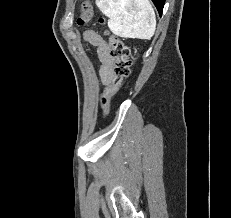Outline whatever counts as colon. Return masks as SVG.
Segmentation results:
<instances>
[{
	"mask_svg": "<svg viewBox=\"0 0 231 218\" xmlns=\"http://www.w3.org/2000/svg\"><path fill=\"white\" fill-rule=\"evenodd\" d=\"M92 18V6L88 1H85L81 7V15L77 20L78 25L87 24ZM101 23H105V19H100ZM109 35V43L111 46V54L115 60L114 67V78L112 82L104 88L101 96V108L103 117H107L110 112V105L112 98L116 95L120 89L123 80L129 76L132 60H131V50L124 43L122 39L116 35Z\"/></svg>",
	"mask_w": 231,
	"mask_h": 218,
	"instance_id": "colon-1",
	"label": "colon"
}]
</instances>
